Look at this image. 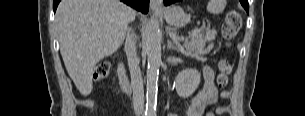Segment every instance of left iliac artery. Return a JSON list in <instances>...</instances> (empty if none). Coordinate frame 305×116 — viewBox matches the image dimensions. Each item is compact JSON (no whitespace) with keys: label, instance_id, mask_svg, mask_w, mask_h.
<instances>
[{"label":"left iliac artery","instance_id":"44dca946","mask_svg":"<svg viewBox=\"0 0 305 116\" xmlns=\"http://www.w3.org/2000/svg\"><path fill=\"white\" fill-rule=\"evenodd\" d=\"M152 116H156V114H152Z\"/></svg>","mask_w":305,"mask_h":116}]
</instances>
